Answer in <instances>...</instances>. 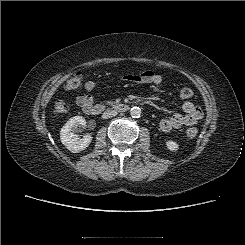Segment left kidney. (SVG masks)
Instances as JSON below:
<instances>
[{
    "label": "left kidney",
    "mask_w": 245,
    "mask_h": 245,
    "mask_svg": "<svg viewBox=\"0 0 245 245\" xmlns=\"http://www.w3.org/2000/svg\"><path fill=\"white\" fill-rule=\"evenodd\" d=\"M166 147L168 150L172 152H175L179 149V145L175 141H172V140H168L166 142Z\"/></svg>",
    "instance_id": "obj_1"
}]
</instances>
